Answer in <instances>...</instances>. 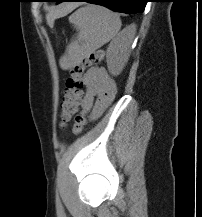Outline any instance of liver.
Returning <instances> with one entry per match:
<instances>
[{
    "label": "liver",
    "mask_w": 202,
    "mask_h": 217,
    "mask_svg": "<svg viewBox=\"0 0 202 217\" xmlns=\"http://www.w3.org/2000/svg\"><path fill=\"white\" fill-rule=\"evenodd\" d=\"M74 8L73 5H63L60 8L56 9L53 12H50L47 14L46 18L47 21L50 23L53 21L55 18L61 17L69 13L72 9Z\"/></svg>",
    "instance_id": "1"
}]
</instances>
